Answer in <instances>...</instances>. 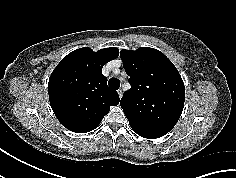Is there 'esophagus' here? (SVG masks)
I'll return each mask as SVG.
<instances>
[{
  "mask_svg": "<svg viewBox=\"0 0 236 178\" xmlns=\"http://www.w3.org/2000/svg\"><path fill=\"white\" fill-rule=\"evenodd\" d=\"M117 93H118V95H119V98L121 99V98H122V94H123L122 90H121V89H118V90H117Z\"/></svg>",
  "mask_w": 236,
  "mask_h": 178,
  "instance_id": "34e87169",
  "label": "esophagus"
}]
</instances>
